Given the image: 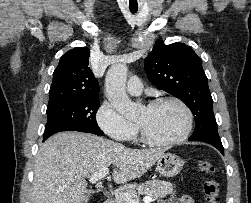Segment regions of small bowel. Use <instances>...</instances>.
<instances>
[{
	"instance_id": "1",
	"label": "small bowel",
	"mask_w": 251,
	"mask_h": 203,
	"mask_svg": "<svg viewBox=\"0 0 251 203\" xmlns=\"http://www.w3.org/2000/svg\"><path fill=\"white\" fill-rule=\"evenodd\" d=\"M160 203H195L194 200L191 197L183 196L180 198H170L166 201H162Z\"/></svg>"
}]
</instances>
